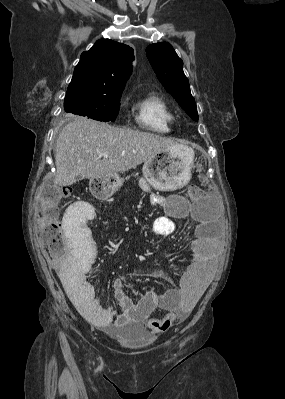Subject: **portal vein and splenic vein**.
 Segmentation results:
<instances>
[{"label":"portal vein and splenic vein","mask_w":285,"mask_h":399,"mask_svg":"<svg viewBox=\"0 0 285 399\" xmlns=\"http://www.w3.org/2000/svg\"><path fill=\"white\" fill-rule=\"evenodd\" d=\"M97 156H98L99 158H101V157H103V158H108V154H107V153H99V154H97Z\"/></svg>","instance_id":"18ae733b"}]
</instances>
